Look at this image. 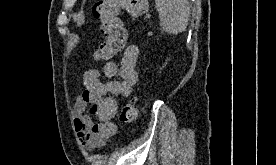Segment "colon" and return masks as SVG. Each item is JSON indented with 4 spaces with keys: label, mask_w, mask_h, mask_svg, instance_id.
Here are the masks:
<instances>
[{
    "label": "colon",
    "mask_w": 276,
    "mask_h": 165,
    "mask_svg": "<svg viewBox=\"0 0 276 165\" xmlns=\"http://www.w3.org/2000/svg\"><path fill=\"white\" fill-rule=\"evenodd\" d=\"M147 0H99L93 8V15L100 23L103 40L95 50L94 56L99 60H109L115 57L126 41V31L119 18L122 12L134 18H148ZM137 99L131 98L119 111V121L132 123L137 117Z\"/></svg>",
    "instance_id": "obj_1"
}]
</instances>
